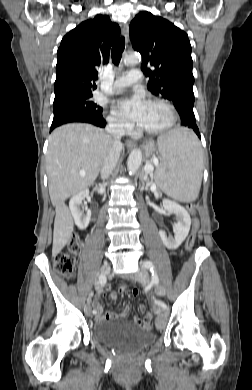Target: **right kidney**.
<instances>
[{"label":"right kidney","instance_id":"ca27d5eb","mask_svg":"<svg viewBox=\"0 0 252 390\" xmlns=\"http://www.w3.org/2000/svg\"><path fill=\"white\" fill-rule=\"evenodd\" d=\"M96 189L97 187L95 188V190ZM88 195L89 191L85 189L74 195L69 202L71 214L74 218L75 224L80 230L86 229L91 219L90 209L85 207V212L81 210L82 203Z\"/></svg>","mask_w":252,"mask_h":390}]
</instances>
